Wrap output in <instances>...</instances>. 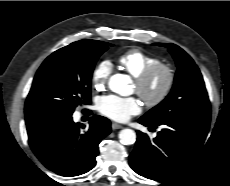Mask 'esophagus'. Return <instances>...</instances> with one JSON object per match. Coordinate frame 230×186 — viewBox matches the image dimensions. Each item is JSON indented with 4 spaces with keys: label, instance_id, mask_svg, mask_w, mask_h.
Returning a JSON list of instances; mask_svg holds the SVG:
<instances>
[{
    "label": "esophagus",
    "instance_id": "obj_1",
    "mask_svg": "<svg viewBox=\"0 0 230 186\" xmlns=\"http://www.w3.org/2000/svg\"><path fill=\"white\" fill-rule=\"evenodd\" d=\"M111 127H112L113 130H117V129L123 128V126L120 125V124H118V123H112Z\"/></svg>",
    "mask_w": 230,
    "mask_h": 186
}]
</instances>
